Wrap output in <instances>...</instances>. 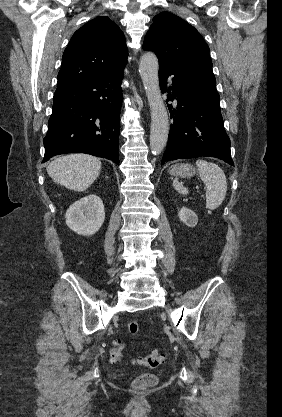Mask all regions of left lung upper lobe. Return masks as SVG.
<instances>
[{"label": "left lung upper lobe", "mask_w": 282, "mask_h": 417, "mask_svg": "<svg viewBox=\"0 0 282 417\" xmlns=\"http://www.w3.org/2000/svg\"><path fill=\"white\" fill-rule=\"evenodd\" d=\"M153 21L145 36L143 49L154 51L160 66L212 70L209 47L193 26L169 12L156 15Z\"/></svg>", "instance_id": "5c2ea615"}]
</instances>
